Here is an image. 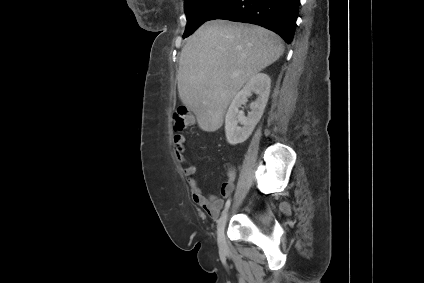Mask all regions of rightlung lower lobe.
<instances>
[{"instance_id": "98d812e1", "label": "right lung lower lobe", "mask_w": 424, "mask_h": 283, "mask_svg": "<svg viewBox=\"0 0 424 283\" xmlns=\"http://www.w3.org/2000/svg\"><path fill=\"white\" fill-rule=\"evenodd\" d=\"M300 0H229L209 20L224 19L263 26L291 43Z\"/></svg>"}]
</instances>
